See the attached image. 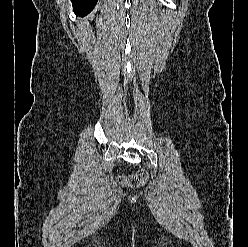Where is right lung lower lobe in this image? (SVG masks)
Wrapping results in <instances>:
<instances>
[{
	"mask_svg": "<svg viewBox=\"0 0 248 247\" xmlns=\"http://www.w3.org/2000/svg\"><path fill=\"white\" fill-rule=\"evenodd\" d=\"M74 11L81 16L87 15L96 5L97 0H72Z\"/></svg>",
	"mask_w": 248,
	"mask_h": 247,
	"instance_id": "right-lung-lower-lobe-1",
	"label": "right lung lower lobe"
}]
</instances>
